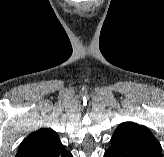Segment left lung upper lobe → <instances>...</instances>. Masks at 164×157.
<instances>
[{
    "mask_svg": "<svg viewBox=\"0 0 164 157\" xmlns=\"http://www.w3.org/2000/svg\"><path fill=\"white\" fill-rule=\"evenodd\" d=\"M112 138L128 140L148 149L151 153L162 156L161 145L149 129L134 122H124L120 124L116 128Z\"/></svg>",
    "mask_w": 164,
    "mask_h": 157,
    "instance_id": "obj_1",
    "label": "left lung upper lobe"
}]
</instances>
